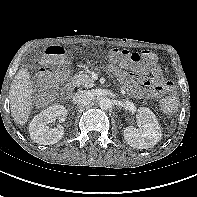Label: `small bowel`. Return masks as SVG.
Returning <instances> with one entry per match:
<instances>
[{
    "label": "small bowel",
    "instance_id": "c3829d8e",
    "mask_svg": "<svg viewBox=\"0 0 197 197\" xmlns=\"http://www.w3.org/2000/svg\"><path fill=\"white\" fill-rule=\"evenodd\" d=\"M126 64L121 61L122 66ZM114 72L122 85L138 98H159L173 90L172 84L163 79L162 70L158 65L151 68L150 78H145L138 72H127L120 68H115Z\"/></svg>",
    "mask_w": 197,
    "mask_h": 197
}]
</instances>
